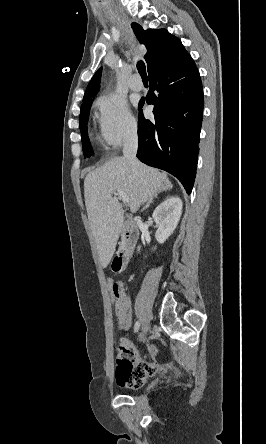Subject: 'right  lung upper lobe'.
<instances>
[{
    "mask_svg": "<svg viewBox=\"0 0 266 444\" xmlns=\"http://www.w3.org/2000/svg\"><path fill=\"white\" fill-rule=\"evenodd\" d=\"M131 26L139 42L144 44L147 49L144 59L147 62L149 74L181 61L189 55L180 39L171 35L167 30H143L137 23H133ZM101 73L102 68L92 77L87 86L83 102L91 100L97 94L100 87Z\"/></svg>",
    "mask_w": 266,
    "mask_h": 444,
    "instance_id": "right-lung-upper-lobe-1",
    "label": "right lung upper lobe"
}]
</instances>
